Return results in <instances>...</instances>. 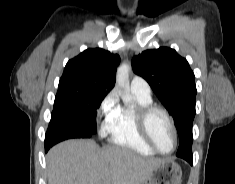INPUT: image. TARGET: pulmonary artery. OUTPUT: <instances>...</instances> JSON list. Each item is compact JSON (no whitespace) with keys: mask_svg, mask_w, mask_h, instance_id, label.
I'll use <instances>...</instances> for the list:
<instances>
[{"mask_svg":"<svg viewBox=\"0 0 235 184\" xmlns=\"http://www.w3.org/2000/svg\"><path fill=\"white\" fill-rule=\"evenodd\" d=\"M131 90L135 95L150 98L151 97V88L147 81L140 76H134L131 80Z\"/></svg>","mask_w":235,"mask_h":184,"instance_id":"e3ab8cb5","label":"pulmonary artery"}]
</instances>
